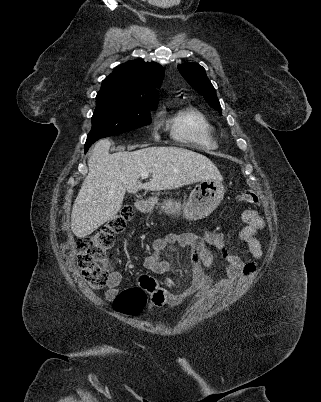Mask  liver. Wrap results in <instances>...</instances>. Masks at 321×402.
Segmentation results:
<instances>
[{"label":"liver","instance_id":"liver-1","mask_svg":"<svg viewBox=\"0 0 321 402\" xmlns=\"http://www.w3.org/2000/svg\"><path fill=\"white\" fill-rule=\"evenodd\" d=\"M111 142L98 141L88 160L89 173L82 183L71 213V230L78 238L93 233L116 216L124 195L141 189L170 190L222 176L206 156L180 147H146L109 154ZM152 175L138 181L141 173Z\"/></svg>","mask_w":321,"mask_h":402}]
</instances>
